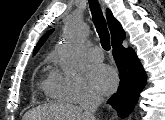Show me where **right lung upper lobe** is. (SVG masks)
<instances>
[{
  "instance_id": "1",
  "label": "right lung upper lobe",
  "mask_w": 165,
  "mask_h": 120,
  "mask_svg": "<svg viewBox=\"0 0 165 120\" xmlns=\"http://www.w3.org/2000/svg\"><path fill=\"white\" fill-rule=\"evenodd\" d=\"M106 16H107L108 26L111 32L112 44L119 40H123L125 38V32L122 29L120 23L113 17L109 9H107ZM52 32L53 30H50L40 39V41L35 47L34 54L39 50L40 46H42V44L46 41V39Z\"/></svg>"
}]
</instances>
